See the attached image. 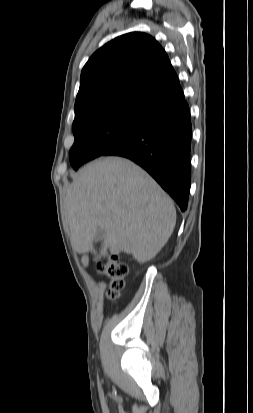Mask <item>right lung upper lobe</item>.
Masks as SVG:
<instances>
[{
    "instance_id": "right-lung-upper-lobe-1",
    "label": "right lung upper lobe",
    "mask_w": 253,
    "mask_h": 413,
    "mask_svg": "<svg viewBox=\"0 0 253 413\" xmlns=\"http://www.w3.org/2000/svg\"><path fill=\"white\" fill-rule=\"evenodd\" d=\"M184 100L164 49L150 35L132 32L105 44L83 67L75 119L111 107L152 113Z\"/></svg>"
}]
</instances>
